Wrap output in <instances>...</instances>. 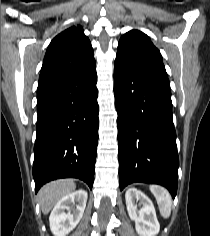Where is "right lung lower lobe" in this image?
Returning a JSON list of instances; mask_svg holds the SVG:
<instances>
[{"label":"right lung lower lobe","mask_w":210,"mask_h":236,"mask_svg":"<svg viewBox=\"0 0 210 236\" xmlns=\"http://www.w3.org/2000/svg\"><path fill=\"white\" fill-rule=\"evenodd\" d=\"M96 66L37 90L33 178L45 183L79 178L92 189L98 144Z\"/></svg>","instance_id":"obj_1"}]
</instances>
